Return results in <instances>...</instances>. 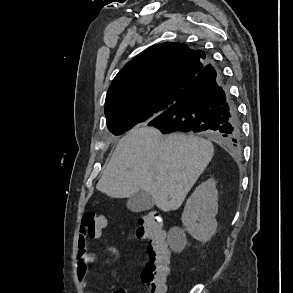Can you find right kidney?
<instances>
[{
    "label": "right kidney",
    "instance_id": "ca27d5eb",
    "mask_svg": "<svg viewBox=\"0 0 293 293\" xmlns=\"http://www.w3.org/2000/svg\"><path fill=\"white\" fill-rule=\"evenodd\" d=\"M218 192L213 179L200 184L188 198L181 220L186 231L196 240L207 242L215 234Z\"/></svg>",
    "mask_w": 293,
    "mask_h": 293
}]
</instances>
